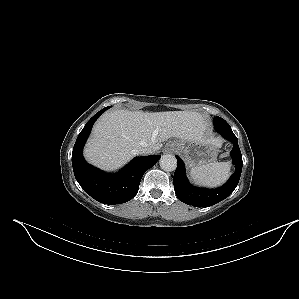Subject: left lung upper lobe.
Listing matches in <instances>:
<instances>
[{
  "instance_id": "left-lung-upper-lobe-1",
  "label": "left lung upper lobe",
  "mask_w": 299,
  "mask_h": 299,
  "mask_svg": "<svg viewBox=\"0 0 299 299\" xmlns=\"http://www.w3.org/2000/svg\"><path fill=\"white\" fill-rule=\"evenodd\" d=\"M214 120H224V119H222L221 117H214Z\"/></svg>"
}]
</instances>
